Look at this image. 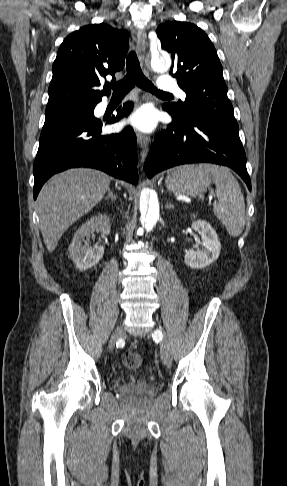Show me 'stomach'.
<instances>
[{
  "label": "stomach",
  "mask_w": 287,
  "mask_h": 486,
  "mask_svg": "<svg viewBox=\"0 0 287 486\" xmlns=\"http://www.w3.org/2000/svg\"><path fill=\"white\" fill-rule=\"evenodd\" d=\"M214 179L201 165H183L166 177L165 185L173 193L195 196L205 192Z\"/></svg>",
  "instance_id": "1"
}]
</instances>
